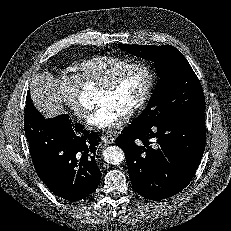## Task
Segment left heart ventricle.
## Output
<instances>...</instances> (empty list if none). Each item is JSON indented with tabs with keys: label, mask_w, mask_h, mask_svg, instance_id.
<instances>
[{
	"label": "left heart ventricle",
	"mask_w": 231,
	"mask_h": 231,
	"mask_svg": "<svg viewBox=\"0 0 231 231\" xmlns=\"http://www.w3.org/2000/svg\"><path fill=\"white\" fill-rule=\"evenodd\" d=\"M148 77L145 70H130L112 92L99 90L97 102H109L125 114L142 96L147 86Z\"/></svg>",
	"instance_id": "b2bd125f"
}]
</instances>
